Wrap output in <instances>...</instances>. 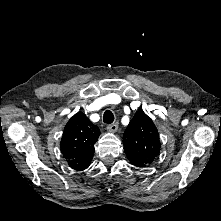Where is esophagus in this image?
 <instances>
[{
    "label": "esophagus",
    "instance_id": "1",
    "mask_svg": "<svg viewBox=\"0 0 221 221\" xmlns=\"http://www.w3.org/2000/svg\"><path fill=\"white\" fill-rule=\"evenodd\" d=\"M117 129H118V124L117 123L109 124L107 126V131L108 132H116Z\"/></svg>",
    "mask_w": 221,
    "mask_h": 221
}]
</instances>
